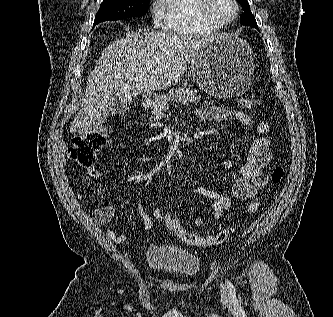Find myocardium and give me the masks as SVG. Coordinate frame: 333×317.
Here are the masks:
<instances>
[{
    "label": "myocardium",
    "mask_w": 333,
    "mask_h": 317,
    "mask_svg": "<svg viewBox=\"0 0 333 317\" xmlns=\"http://www.w3.org/2000/svg\"><path fill=\"white\" fill-rule=\"evenodd\" d=\"M198 12L200 17L207 24L216 27V28H225L231 25L239 15L240 6L237 0H231L234 6V12L230 18L227 20L217 19L211 12L212 0H198Z\"/></svg>",
    "instance_id": "myocardium-1"
}]
</instances>
